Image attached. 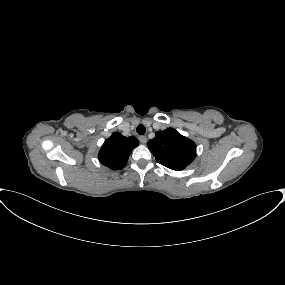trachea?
<instances>
[{
	"label": "trachea",
	"instance_id": "1",
	"mask_svg": "<svg viewBox=\"0 0 285 285\" xmlns=\"http://www.w3.org/2000/svg\"><path fill=\"white\" fill-rule=\"evenodd\" d=\"M136 131L139 135H143L146 132V128L144 125L141 124L137 126Z\"/></svg>",
	"mask_w": 285,
	"mask_h": 285
}]
</instances>
